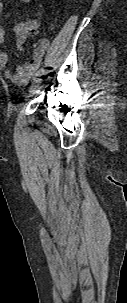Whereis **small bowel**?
<instances>
[{
    "instance_id": "obj_1",
    "label": "small bowel",
    "mask_w": 127,
    "mask_h": 303,
    "mask_svg": "<svg viewBox=\"0 0 127 303\" xmlns=\"http://www.w3.org/2000/svg\"><path fill=\"white\" fill-rule=\"evenodd\" d=\"M30 1L31 0H19V2L22 4H28ZM2 8H3V4L0 0V12L2 11ZM30 25H34V23L22 22L15 27L14 31L18 39L16 47L19 50L24 49L25 46L24 37L27 28ZM4 44H5V31L0 22V69L4 70V77L7 80L11 81L17 86L25 85L39 68L42 59L49 48V40L47 38H42L38 42L37 46L35 47L32 58L28 62L24 63L23 65L18 66L15 71H11L10 69H7L9 56L3 50Z\"/></svg>"
}]
</instances>
